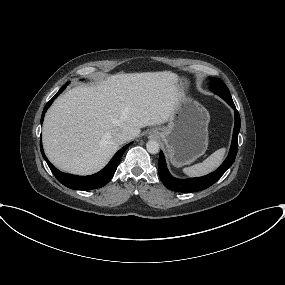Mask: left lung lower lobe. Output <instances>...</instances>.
<instances>
[{"mask_svg": "<svg viewBox=\"0 0 285 285\" xmlns=\"http://www.w3.org/2000/svg\"><path fill=\"white\" fill-rule=\"evenodd\" d=\"M230 106L235 108L233 100H225ZM235 126L232 138L231 148L226 160L222 163V165L213 173H210L206 176L199 178H191V179H177L171 176L169 173L165 158L162 152H160L159 163H158V172L163 184L172 191L177 192H196L200 190H204L215 182H217L221 176L226 172V170L233 164L237 150H238V134L240 130V116L238 111L235 109Z\"/></svg>", "mask_w": 285, "mask_h": 285, "instance_id": "left-lung-lower-lobe-1", "label": "left lung lower lobe"}]
</instances>
